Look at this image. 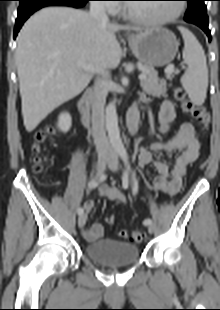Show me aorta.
Returning a JSON list of instances; mask_svg holds the SVG:
<instances>
[{
	"label": "aorta",
	"instance_id": "1",
	"mask_svg": "<svg viewBox=\"0 0 220 310\" xmlns=\"http://www.w3.org/2000/svg\"><path fill=\"white\" fill-rule=\"evenodd\" d=\"M105 121L111 146L116 150L122 149L123 143L120 138V131L118 127V116L114 101L110 102L106 107Z\"/></svg>",
	"mask_w": 220,
	"mask_h": 310
}]
</instances>
